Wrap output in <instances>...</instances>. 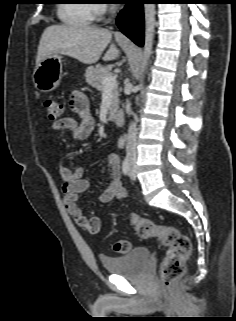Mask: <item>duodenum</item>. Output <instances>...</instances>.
Instances as JSON below:
<instances>
[{
	"label": "duodenum",
	"instance_id": "obj_1",
	"mask_svg": "<svg viewBox=\"0 0 236 321\" xmlns=\"http://www.w3.org/2000/svg\"><path fill=\"white\" fill-rule=\"evenodd\" d=\"M111 119L118 126H121L124 123V115L121 112L114 113L111 116Z\"/></svg>",
	"mask_w": 236,
	"mask_h": 321
}]
</instances>
